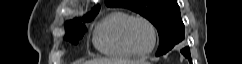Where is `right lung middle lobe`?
Masks as SVG:
<instances>
[{
  "instance_id": "dd1d6c3e",
  "label": "right lung middle lobe",
  "mask_w": 242,
  "mask_h": 64,
  "mask_svg": "<svg viewBox=\"0 0 242 64\" xmlns=\"http://www.w3.org/2000/svg\"><path fill=\"white\" fill-rule=\"evenodd\" d=\"M97 13L98 11L85 16L84 20L87 22L91 21L97 15ZM66 29H67V34L65 36V39L69 40L73 44L78 43L79 39L83 37L86 30L85 26L80 22L67 24Z\"/></svg>"
}]
</instances>
